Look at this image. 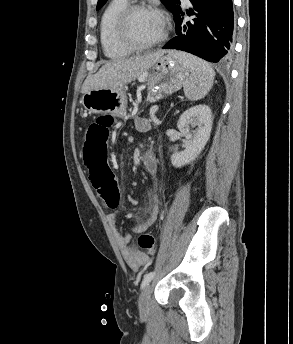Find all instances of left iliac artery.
I'll list each match as a JSON object with an SVG mask.
<instances>
[{"mask_svg": "<svg viewBox=\"0 0 293 344\" xmlns=\"http://www.w3.org/2000/svg\"><path fill=\"white\" fill-rule=\"evenodd\" d=\"M154 275H155V272L146 273L143 277L141 288H144L145 286H147L149 282L153 279Z\"/></svg>", "mask_w": 293, "mask_h": 344, "instance_id": "44dca946", "label": "left iliac artery"}]
</instances>
